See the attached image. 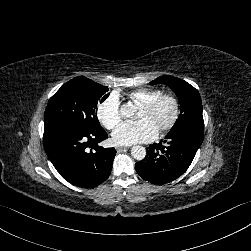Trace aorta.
I'll return each mask as SVG.
<instances>
[{"instance_id":"1","label":"aorta","mask_w":251,"mask_h":251,"mask_svg":"<svg viewBox=\"0 0 251 251\" xmlns=\"http://www.w3.org/2000/svg\"><path fill=\"white\" fill-rule=\"evenodd\" d=\"M133 105L126 103L121 106L120 113L121 115L125 117H131L133 115V111L131 109ZM131 155L133 156L134 159L136 160H143L146 156V149L143 146H133L131 149Z\"/></svg>"}]
</instances>
